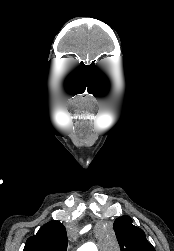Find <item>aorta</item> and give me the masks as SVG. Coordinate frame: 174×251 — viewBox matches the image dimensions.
<instances>
[{"mask_svg":"<svg viewBox=\"0 0 174 251\" xmlns=\"http://www.w3.org/2000/svg\"><path fill=\"white\" fill-rule=\"evenodd\" d=\"M105 238L107 242V250L113 251L116 246V239L112 229H105ZM77 251H98L97 247L92 243H86L82 245Z\"/></svg>","mask_w":174,"mask_h":251,"instance_id":"aorta-1","label":"aorta"}]
</instances>
